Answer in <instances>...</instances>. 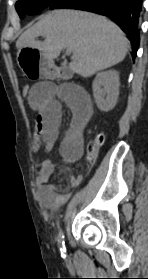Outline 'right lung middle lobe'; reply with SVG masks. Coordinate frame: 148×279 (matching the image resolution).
<instances>
[{
    "label": "right lung middle lobe",
    "instance_id": "dd1d6c3e",
    "mask_svg": "<svg viewBox=\"0 0 148 279\" xmlns=\"http://www.w3.org/2000/svg\"><path fill=\"white\" fill-rule=\"evenodd\" d=\"M60 0H19L15 7L20 16L33 15Z\"/></svg>",
    "mask_w": 148,
    "mask_h": 279
}]
</instances>
